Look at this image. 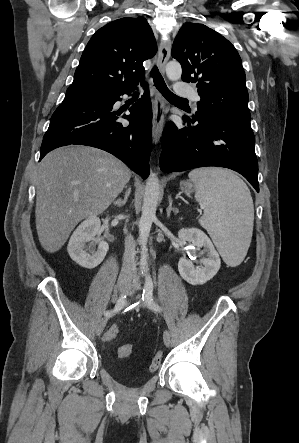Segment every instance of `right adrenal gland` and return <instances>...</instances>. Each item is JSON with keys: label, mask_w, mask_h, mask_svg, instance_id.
<instances>
[{"label": "right adrenal gland", "mask_w": 299, "mask_h": 443, "mask_svg": "<svg viewBox=\"0 0 299 443\" xmlns=\"http://www.w3.org/2000/svg\"><path fill=\"white\" fill-rule=\"evenodd\" d=\"M130 192H131V188H128L126 193H125L124 199L122 200L121 198H118L117 200H115L113 202V204L115 206H117L118 208H121L122 206H124L126 204L127 200H128Z\"/></svg>", "instance_id": "1"}]
</instances>
